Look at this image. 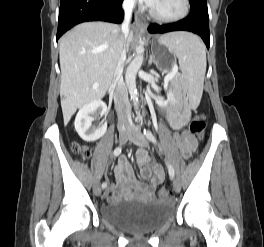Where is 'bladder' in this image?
<instances>
[{
  "instance_id": "31cf9c89",
  "label": "bladder",
  "mask_w": 264,
  "mask_h": 247,
  "mask_svg": "<svg viewBox=\"0 0 264 247\" xmlns=\"http://www.w3.org/2000/svg\"><path fill=\"white\" fill-rule=\"evenodd\" d=\"M173 216V205L161 201H121L101 207L100 217L129 233H145L158 229Z\"/></svg>"
}]
</instances>
